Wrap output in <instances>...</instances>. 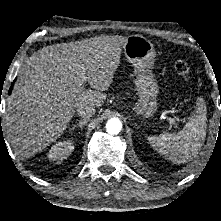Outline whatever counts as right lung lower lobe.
Here are the masks:
<instances>
[{"instance_id": "obj_1", "label": "right lung lower lobe", "mask_w": 221, "mask_h": 221, "mask_svg": "<svg viewBox=\"0 0 221 221\" xmlns=\"http://www.w3.org/2000/svg\"><path fill=\"white\" fill-rule=\"evenodd\" d=\"M12 88H13V84H12L11 87H10L9 93H11Z\"/></svg>"}]
</instances>
